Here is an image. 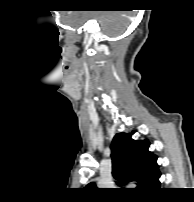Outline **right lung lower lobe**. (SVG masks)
Instances as JSON below:
<instances>
[{"instance_id":"right-lung-lower-lobe-1","label":"right lung lower lobe","mask_w":194,"mask_h":202,"mask_svg":"<svg viewBox=\"0 0 194 202\" xmlns=\"http://www.w3.org/2000/svg\"><path fill=\"white\" fill-rule=\"evenodd\" d=\"M159 189V187L158 188H156V189H154V190H152V191H155V190H158Z\"/></svg>"}]
</instances>
